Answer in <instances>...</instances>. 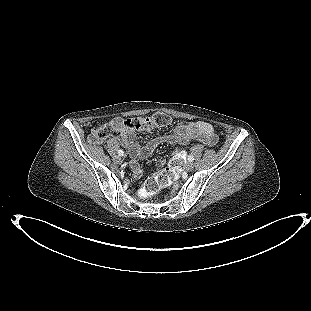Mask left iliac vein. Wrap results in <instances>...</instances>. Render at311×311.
<instances>
[{"mask_svg":"<svg viewBox=\"0 0 311 311\" xmlns=\"http://www.w3.org/2000/svg\"><path fill=\"white\" fill-rule=\"evenodd\" d=\"M194 168V165L190 162L188 164L185 165V171L189 172V171H192Z\"/></svg>","mask_w":311,"mask_h":311,"instance_id":"1","label":"left iliac vein"}]
</instances>
